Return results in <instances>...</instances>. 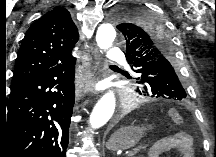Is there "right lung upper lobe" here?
Returning a JSON list of instances; mask_svg holds the SVG:
<instances>
[{"mask_svg":"<svg viewBox=\"0 0 216 157\" xmlns=\"http://www.w3.org/2000/svg\"><path fill=\"white\" fill-rule=\"evenodd\" d=\"M78 30L65 8L39 18L26 32L18 53L11 88L18 87L58 64L75 61L71 54Z\"/></svg>","mask_w":216,"mask_h":157,"instance_id":"right-lung-upper-lobe-1","label":"right lung upper lobe"}]
</instances>
